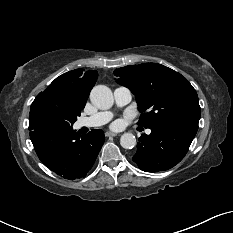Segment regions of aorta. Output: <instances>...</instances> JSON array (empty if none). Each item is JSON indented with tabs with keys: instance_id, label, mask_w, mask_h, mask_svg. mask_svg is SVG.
I'll return each instance as SVG.
<instances>
[{
	"instance_id": "obj_1",
	"label": "aorta",
	"mask_w": 233,
	"mask_h": 233,
	"mask_svg": "<svg viewBox=\"0 0 233 233\" xmlns=\"http://www.w3.org/2000/svg\"><path fill=\"white\" fill-rule=\"evenodd\" d=\"M90 100L95 107L102 110L111 108L114 102L112 91L105 85L93 87ZM136 143V138L132 133H124L120 138V144L125 149H132Z\"/></svg>"
}]
</instances>
